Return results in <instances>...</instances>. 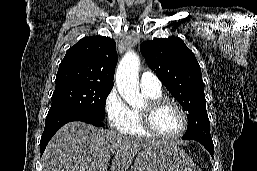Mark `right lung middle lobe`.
<instances>
[{"label": "right lung middle lobe", "mask_w": 257, "mask_h": 171, "mask_svg": "<svg viewBox=\"0 0 257 171\" xmlns=\"http://www.w3.org/2000/svg\"><path fill=\"white\" fill-rule=\"evenodd\" d=\"M112 87L94 84H68L55 88L47 116L62 112H81L104 119L106 98Z\"/></svg>", "instance_id": "1"}]
</instances>
